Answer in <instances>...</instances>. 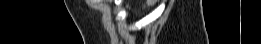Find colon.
Returning a JSON list of instances; mask_svg holds the SVG:
<instances>
[{
    "label": "colon",
    "instance_id": "1",
    "mask_svg": "<svg viewBox=\"0 0 261 44\" xmlns=\"http://www.w3.org/2000/svg\"><path fill=\"white\" fill-rule=\"evenodd\" d=\"M149 4H153L155 1L154 0H149L147 1Z\"/></svg>",
    "mask_w": 261,
    "mask_h": 44
}]
</instances>
